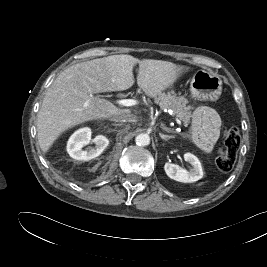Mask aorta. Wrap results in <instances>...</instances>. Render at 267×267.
<instances>
[{"label":"aorta","instance_id":"1","mask_svg":"<svg viewBox=\"0 0 267 267\" xmlns=\"http://www.w3.org/2000/svg\"><path fill=\"white\" fill-rule=\"evenodd\" d=\"M135 142L138 146L144 147L150 144V137L146 133H141L136 136Z\"/></svg>","mask_w":267,"mask_h":267}]
</instances>
